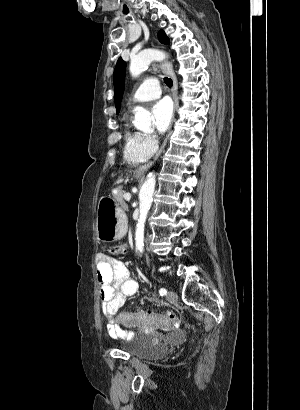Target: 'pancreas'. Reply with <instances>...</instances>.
<instances>
[{
	"label": "pancreas",
	"instance_id": "1",
	"mask_svg": "<svg viewBox=\"0 0 300 410\" xmlns=\"http://www.w3.org/2000/svg\"><path fill=\"white\" fill-rule=\"evenodd\" d=\"M124 195H125V192L122 190H119L118 194L114 195V198L117 201V203L121 206L122 209L127 210L128 205L124 201Z\"/></svg>",
	"mask_w": 300,
	"mask_h": 410
}]
</instances>
